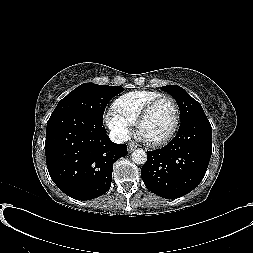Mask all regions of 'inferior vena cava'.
<instances>
[{
  "label": "inferior vena cava",
  "instance_id": "1",
  "mask_svg": "<svg viewBox=\"0 0 253 253\" xmlns=\"http://www.w3.org/2000/svg\"><path fill=\"white\" fill-rule=\"evenodd\" d=\"M110 139L113 142L118 143V144H121V143H124V142L128 141V137L123 135V134H120V133H111L110 134Z\"/></svg>",
  "mask_w": 253,
  "mask_h": 253
}]
</instances>
